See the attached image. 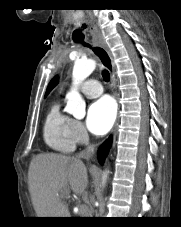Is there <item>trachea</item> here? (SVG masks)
Returning a JSON list of instances; mask_svg holds the SVG:
<instances>
[{
	"label": "trachea",
	"instance_id": "1",
	"mask_svg": "<svg viewBox=\"0 0 181 227\" xmlns=\"http://www.w3.org/2000/svg\"><path fill=\"white\" fill-rule=\"evenodd\" d=\"M104 52V51H103ZM105 53V52H104ZM106 54V53H105ZM102 77L103 79L108 82L110 80V74L107 70H103L102 71Z\"/></svg>",
	"mask_w": 181,
	"mask_h": 227
}]
</instances>
